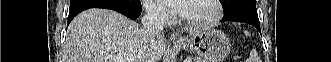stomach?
<instances>
[{
    "label": "stomach",
    "instance_id": "1",
    "mask_svg": "<svg viewBox=\"0 0 331 62\" xmlns=\"http://www.w3.org/2000/svg\"><path fill=\"white\" fill-rule=\"evenodd\" d=\"M176 46L197 54L203 62H223L231 51L229 38L219 30H206L192 34Z\"/></svg>",
    "mask_w": 331,
    "mask_h": 62
}]
</instances>
